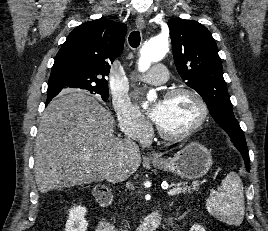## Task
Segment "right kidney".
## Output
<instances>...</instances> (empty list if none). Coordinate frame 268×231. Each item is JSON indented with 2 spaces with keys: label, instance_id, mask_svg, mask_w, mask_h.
Returning <instances> with one entry per match:
<instances>
[{
  "label": "right kidney",
  "instance_id": "1",
  "mask_svg": "<svg viewBox=\"0 0 268 231\" xmlns=\"http://www.w3.org/2000/svg\"><path fill=\"white\" fill-rule=\"evenodd\" d=\"M87 209L82 206H74L69 210L65 231H86L88 222L85 219Z\"/></svg>",
  "mask_w": 268,
  "mask_h": 231
}]
</instances>
